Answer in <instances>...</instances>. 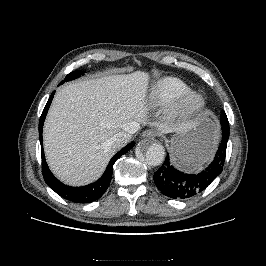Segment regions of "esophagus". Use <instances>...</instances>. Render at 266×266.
Segmentation results:
<instances>
[{
  "label": "esophagus",
  "mask_w": 266,
  "mask_h": 266,
  "mask_svg": "<svg viewBox=\"0 0 266 266\" xmlns=\"http://www.w3.org/2000/svg\"><path fill=\"white\" fill-rule=\"evenodd\" d=\"M156 136H158V132L153 129H148L142 132V137L144 138L154 139Z\"/></svg>",
  "instance_id": "34e87169"
}]
</instances>
